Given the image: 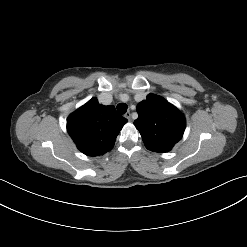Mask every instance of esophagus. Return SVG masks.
I'll use <instances>...</instances> for the list:
<instances>
[{
	"mask_svg": "<svg viewBox=\"0 0 247 247\" xmlns=\"http://www.w3.org/2000/svg\"><path fill=\"white\" fill-rule=\"evenodd\" d=\"M125 118L128 119L129 121L131 120V113L128 111L125 113Z\"/></svg>",
	"mask_w": 247,
	"mask_h": 247,
	"instance_id": "esophagus-1",
	"label": "esophagus"
}]
</instances>
